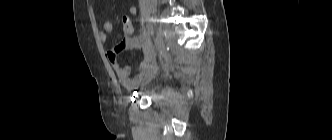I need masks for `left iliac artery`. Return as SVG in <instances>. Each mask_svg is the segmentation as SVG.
I'll list each match as a JSON object with an SVG mask.
<instances>
[{
  "mask_svg": "<svg viewBox=\"0 0 332 140\" xmlns=\"http://www.w3.org/2000/svg\"><path fill=\"white\" fill-rule=\"evenodd\" d=\"M149 34L153 37L154 36V29L152 27L149 28Z\"/></svg>",
  "mask_w": 332,
  "mask_h": 140,
  "instance_id": "1",
  "label": "left iliac artery"
}]
</instances>
